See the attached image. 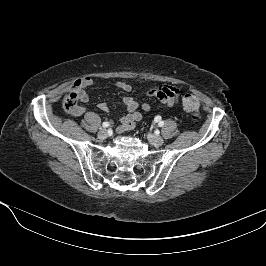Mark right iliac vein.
Wrapping results in <instances>:
<instances>
[{"mask_svg":"<svg viewBox=\"0 0 266 266\" xmlns=\"http://www.w3.org/2000/svg\"><path fill=\"white\" fill-rule=\"evenodd\" d=\"M108 136V133H107V130L106 129H101L99 132H98V138L100 140H104L106 139Z\"/></svg>","mask_w":266,"mask_h":266,"instance_id":"1","label":"right iliac vein"}]
</instances>
